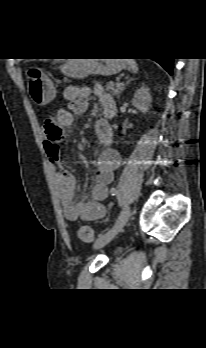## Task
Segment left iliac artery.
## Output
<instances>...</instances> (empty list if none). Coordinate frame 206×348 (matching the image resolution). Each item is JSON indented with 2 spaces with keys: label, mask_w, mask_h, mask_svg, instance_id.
Returning a JSON list of instances; mask_svg holds the SVG:
<instances>
[{
  "label": "left iliac artery",
  "mask_w": 206,
  "mask_h": 348,
  "mask_svg": "<svg viewBox=\"0 0 206 348\" xmlns=\"http://www.w3.org/2000/svg\"><path fill=\"white\" fill-rule=\"evenodd\" d=\"M112 195H117V191L115 189L111 190Z\"/></svg>",
  "instance_id": "obj_1"
}]
</instances>
